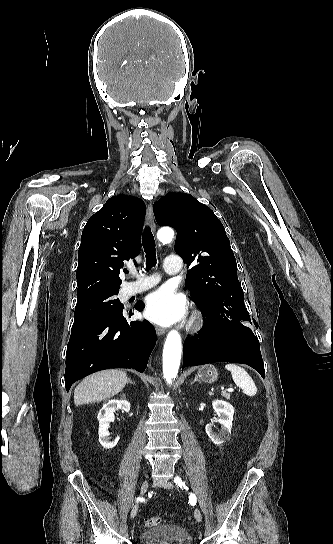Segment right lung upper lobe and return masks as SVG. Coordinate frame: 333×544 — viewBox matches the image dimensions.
<instances>
[{
	"mask_svg": "<svg viewBox=\"0 0 333 544\" xmlns=\"http://www.w3.org/2000/svg\"><path fill=\"white\" fill-rule=\"evenodd\" d=\"M146 206L133 196L111 197L85 225L78 251L77 300L119 291L124 260L140 252Z\"/></svg>",
	"mask_w": 333,
	"mask_h": 544,
	"instance_id": "1",
	"label": "right lung upper lobe"
}]
</instances>
